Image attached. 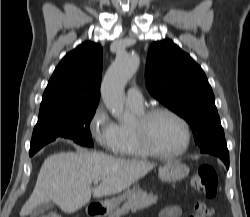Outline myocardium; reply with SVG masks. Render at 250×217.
<instances>
[{
  "mask_svg": "<svg viewBox=\"0 0 250 217\" xmlns=\"http://www.w3.org/2000/svg\"><path fill=\"white\" fill-rule=\"evenodd\" d=\"M158 114H167L176 119L182 126L185 134V143L183 147L177 151L164 153L159 151L151 142L148 125L151 119ZM134 133L137 141L142 149L149 155L160 159H170L183 155L191 144V130L187 121L176 111L165 106H154L138 115L135 124L133 125Z\"/></svg>",
  "mask_w": 250,
  "mask_h": 217,
  "instance_id": "obj_1",
  "label": "myocardium"
}]
</instances>
